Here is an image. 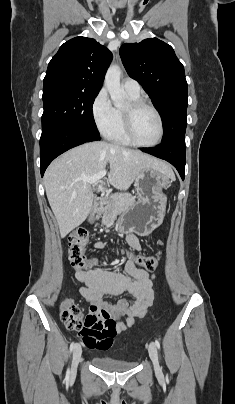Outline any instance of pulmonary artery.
<instances>
[{
    "mask_svg": "<svg viewBox=\"0 0 235 404\" xmlns=\"http://www.w3.org/2000/svg\"><path fill=\"white\" fill-rule=\"evenodd\" d=\"M122 85L128 94L139 95L141 92L139 83L134 79L125 78L122 82Z\"/></svg>",
    "mask_w": 235,
    "mask_h": 404,
    "instance_id": "1",
    "label": "pulmonary artery"
}]
</instances>
